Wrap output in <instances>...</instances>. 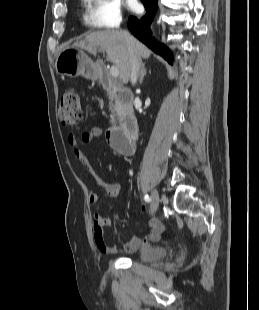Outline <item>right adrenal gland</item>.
Listing matches in <instances>:
<instances>
[{"mask_svg": "<svg viewBox=\"0 0 259 310\" xmlns=\"http://www.w3.org/2000/svg\"><path fill=\"white\" fill-rule=\"evenodd\" d=\"M147 74L146 68H145V63L141 64V71L139 74V84H142L144 76Z\"/></svg>", "mask_w": 259, "mask_h": 310, "instance_id": "obj_1", "label": "right adrenal gland"}]
</instances>
